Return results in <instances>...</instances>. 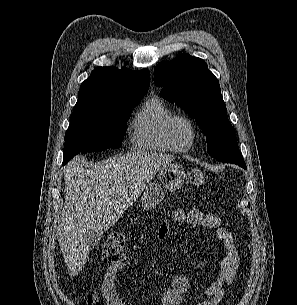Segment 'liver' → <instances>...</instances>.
I'll list each match as a JSON object with an SVG mask.
<instances>
[{
	"mask_svg": "<svg viewBox=\"0 0 297 305\" xmlns=\"http://www.w3.org/2000/svg\"><path fill=\"white\" fill-rule=\"evenodd\" d=\"M175 159L160 153L131 152L85 169L76 156L64 168L66 197L57 236L69 275L84 267L89 248L85 230L103 234L113 226L146 188L150 179Z\"/></svg>",
	"mask_w": 297,
	"mask_h": 305,
	"instance_id": "6515ba94",
	"label": "liver"
}]
</instances>
